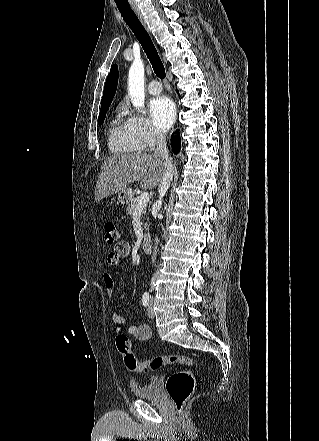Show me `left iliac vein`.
<instances>
[{
    "label": "left iliac vein",
    "instance_id": "1",
    "mask_svg": "<svg viewBox=\"0 0 319 441\" xmlns=\"http://www.w3.org/2000/svg\"><path fill=\"white\" fill-rule=\"evenodd\" d=\"M153 305H154V300L150 299L149 304H148V308H147V315L150 318H153L155 316L154 310H153Z\"/></svg>",
    "mask_w": 319,
    "mask_h": 441
}]
</instances>
